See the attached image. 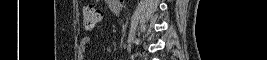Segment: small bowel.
<instances>
[{
  "mask_svg": "<svg viewBox=\"0 0 267 60\" xmlns=\"http://www.w3.org/2000/svg\"><path fill=\"white\" fill-rule=\"evenodd\" d=\"M87 43H88V37L87 36L82 37L81 44L82 45H87Z\"/></svg>",
  "mask_w": 267,
  "mask_h": 60,
  "instance_id": "1",
  "label": "small bowel"
}]
</instances>
